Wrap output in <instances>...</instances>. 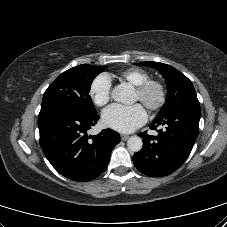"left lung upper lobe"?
Returning a JSON list of instances; mask_svg holds the SVG:
<instances>
[{"instance_id": "left-lung-upper-lobe-1", "label": "left lung upper lobe", "mask_w": 227, "mask_h": 227, "mask_svg": "<svg viewBox=\"0 0 227 227\" xmlns=\"http://www.w3.org/2000/svg\"><path fill=\"white\" fill-rule=\"evenodd\" d=\"M139 64L157 69L166 80L167 98L157 118L165 117L182 107L200 106L192 82L177 69L167 64L151 61Z\"/></svg>"}]
</instances>
